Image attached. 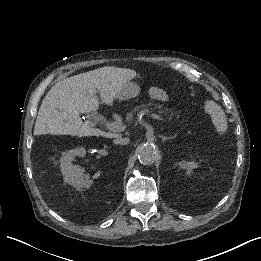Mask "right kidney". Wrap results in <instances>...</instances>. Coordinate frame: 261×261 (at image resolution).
<instances>
[{
	"label": "right kidney",
	"mask_w": 261,
	"mask_h": 261,
	"mask_svg": "<svg viewBox=\"0 0 261 261\" xmlns=\"http://www.w3.org/2000/svg\"><path fill=\"white\" fill-rule=\"evenodd\" d=\"M85 149L77 148L66 152L61 158L60 169L64 177V181L77 189L89 188L93 181L87 178H82V171L76 170V166L71 164L75 156L83 157L85 156Z\"/></svg>",
	"instance_id": "1"
}]
</instances>
